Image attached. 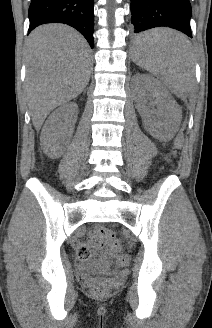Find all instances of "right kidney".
Segmentation results:
<instances>
[{"instance_id":"ca27d5eb","label":"right kidney","mask_w":212,"mask_h":328,"mask_svg":"<svg viewBox=\"0 0 212 328\" xmlns=\"http://www.w3.org/2000/svg\"><path fill=\"white\" fill-rule=\"evenodd\" d=\"M78 114V105L74 102L56 109L47 119L41 132L42 143H53L56 139L69 140L73 133Z\"/></svg>"}]
</instances>
